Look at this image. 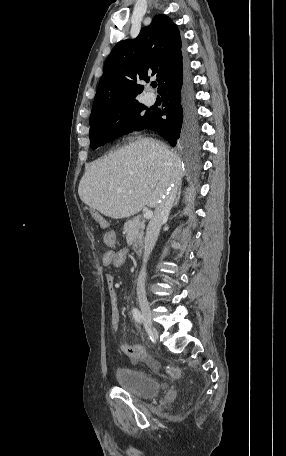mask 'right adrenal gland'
<instances>
[{
  "instance_id": "2a0ac1e0",
  "label": "right adrenal gland",
  "mask_w": 286,
  "mask_h": 456,
  "mask_svg": "<svg viewBox=\"0 0 286 456\" xmlns=\"http://www.w3.org/2000/svg\"><path fill=\"white\" fill-rule=\"evenodd\" d=\"M178 200H179V197L176 198V201H175V203H174V207L177 205Z\"/></svg>"
}]
</instances>
